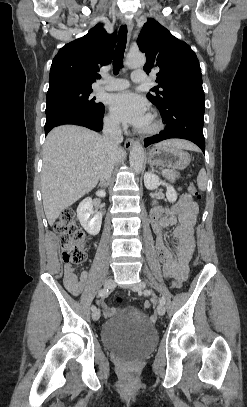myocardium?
Returning <instances> with one entry per match:
<instances>
[{
	"label": "myocardium",
	"instance_id": "myocardium-1",
	"mask_svg": "<svg viewBox=\"0 0 247 407\" xmlns=\"http://www.w3.org/2000/svg\"><path fill=\"white\" fill-rule=\"evenodd\" d=\"M163 125L155 115H151L149 118V124L146 127L141 128L140 132L143 135L151 136L161 131Z\"/></svg>",
	"mask_w": 247,
	"mask_h": 407
}]
</instances>
